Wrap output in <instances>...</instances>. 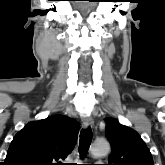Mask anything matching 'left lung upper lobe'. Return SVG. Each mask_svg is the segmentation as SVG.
Instances as JSON below:
<instances>
[{
	"instance_id": "5c2ea615",
	"label": "left lung upper lobe",
	"mask_w": 165,
	"mask_h": 165,
	"mask_svg": "<svg viewBox=\"0 0 165 165\" xmlns=\"http://www.w3.org/2000/svg\"><path fill=\"white\" fill-rule=\"evenodd\" d=\"M105 136L112 149L108 165H153L149 149L133 129L107 118Z\"/></svg>"
}]
</instances>
